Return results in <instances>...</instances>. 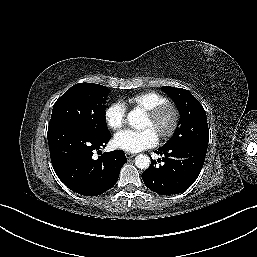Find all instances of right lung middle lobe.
<instances>
[{
	"label": "right lung middle lobe",
	"mask_w": 257,
	"mask_h": 257,
	"mask_svg": "<svg viewBox=\"0 0 257 257\" xmlns=\"http://www.w3.org/2000/svg\"><path fill=\"white\" fill-rule=\"evenodd\" d=\"M109 89L94 83H79L68 89L54 104L48 129L79 126L105 136V109Z\"/></svg>",
	"instance_id": "right-lung-middle-lobe-1"
}]
</instances>
